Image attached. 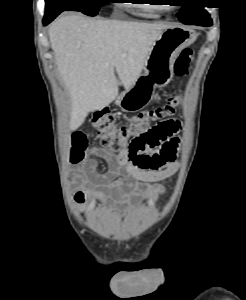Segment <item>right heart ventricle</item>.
<instances>
[{"instance_id": "1", "label": "right heart ventricle", "mask_w": 246, "mask_h": 300, "mask_svg": "<svg viewBox=\"0 0 246 300\" xmlns=\"http://www.w3.org/2000/svg\"><path fill=\"white\" fill-rule=\"evenodd\" d=\"M138 14L145 18L156 19L160 17V13L163 11L162 8L154 4H143L136 6Z\"/></svg>"}]
</instances>
